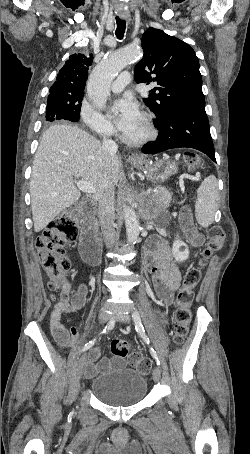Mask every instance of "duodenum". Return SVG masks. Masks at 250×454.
Wrapping results in <instances>:
<instances>
[{
	"instance_id": "1",
	"label": "duodenum",
	"mask_w": 250,
	"mask_h": 454,
	"mask_svg": "<svg viewBox=\"0 0 250 454\" xmlns=\"http://www.w3.org/2000/svg\"><path fill=\"white\" fill-rule=\"evenodd\" d=\"M94 207L87 205L82 210L81 256L89 265L100 263V238L94 225Z\"/></svg>"
}]
</instances>
